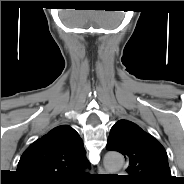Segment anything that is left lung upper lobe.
Masks as SVG:
<instances>
[{
    "label": "left lung upper lobe",
    "mask_w": 184,
    "mask_h": 184,
    "mask_svg": "<svg viewBox=\"0 0 184 184\" xmlns=\"http://www.w3.org/2000/svg\"><path fill=\"white\" fill-rule=\"evenodd\" d=\"M106 148L124 155L129 183L170 184L173 181L164 147L131 121L123 119L115 123Z\"/></svg>",
    "instance_id": "obj_1"
}]
</instances>
